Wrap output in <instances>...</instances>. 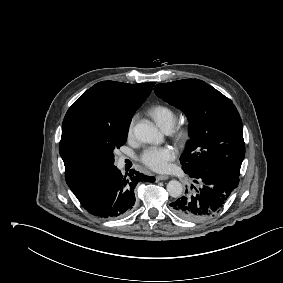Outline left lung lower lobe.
Listing matches in <instances>:
<instances>
[{"mask_svg":"<svg viewBox=\"0 0 283 283\" xmlns=\"http://www.w3.org/2000/svg\"><path fill=\"white\" fill-rule=\"evenodd\" d=\"M184 172L197 185H191L192 192L186 191L184 196L170 203V207L174 214L188 221H203L214 216L239 183V176L222 170Z\"/></svg>","mask_w":283,"mask_h":283,"instance_id":"1","label":"left lung lower lobe"}]
</instances>
